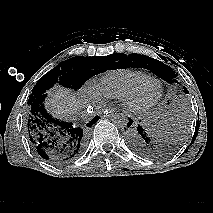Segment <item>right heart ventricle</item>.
I'll use <instances>...</instances> for the list:
<instances>
[{
  "label": "right heart ventricle",
  "mask_w": 213,
  "mask_h": 213,
  "mask_svg": "<svg viewBox=\"0 0 213 213\" xmlns=\"http://www.w3.org/2000/svg\"><path fill=\"white\" fill-rule=\"evenodd\" d=\"M150 78L152 76L144 70L131 68L112 70L100 78L96 88L104 97L122 98Z\"/></svg>",
  "instance_id": "obj_1"
}]
</instances>
